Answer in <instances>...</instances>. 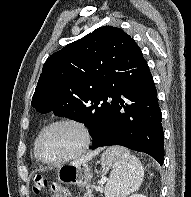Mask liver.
Instances as JSON below:
<instances>
[{
  "instance_id": "6515ba94",
  "label": "liver",
  "mask_w": 191,
  "mask_h": 197,
  "mask_svg": "<svg viewBox=\"0 0 191 197\" xmlns=\"http://www.w3.org/2000/svg\"><path fill=\"white\" fill-rule=\"evenodd\" d=\"M99 151H96V152H92L91 154L85 156V157H82L81 159L73 162L72 164L74 165H79V164H83V163H87L89 160H91L94 156H96L98 154Z\"/></svg>"
}]
</instances>
